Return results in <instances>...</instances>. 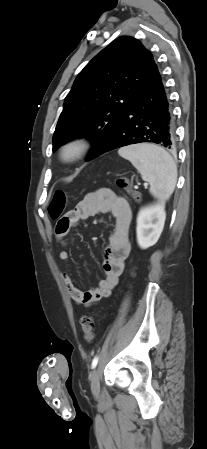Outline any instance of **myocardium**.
Segmentation results:
<instances>
[{"label": "myocardium", "mask_w": 207, "mask_h": 449, "mask_svg": "<svg viewBox=\"0 0 207 449\" xmlns=\"http://www.w3.org/2000/svg\"><path fill=\"white\" fill-rule=\"evenodd\" d=\"M89 139L83 136L66 141L59 150V158L64 163H72L83 158L90 150Z\"/></svg>", "instance_id": "1"}]
</instances>
